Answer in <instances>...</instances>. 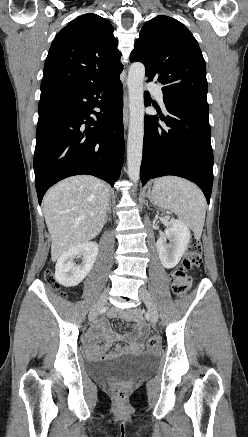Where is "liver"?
<instances>
[{
  "label": "liver",
  "instance_id": "1",
  "mask_svg": "<svg viewBox=\"0 0 248 437\" xmlns=\"http://www.w3.org/2000/svg\"><path fill=\"white\" fill-rule=\"evenodd\" d=\"M109 202L107 185L88 175L62 180L46 193L43 208L52 261L101 232Z\"/></svg>",
  "mask_w": 248,
  "mask_h": 437
}]
</instances>
